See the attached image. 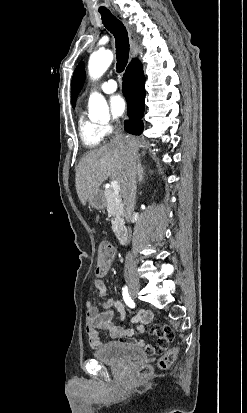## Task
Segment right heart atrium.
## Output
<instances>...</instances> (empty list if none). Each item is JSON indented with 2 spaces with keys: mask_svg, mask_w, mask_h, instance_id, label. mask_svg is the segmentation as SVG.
Returning <instances> with one entry per match:
<instances>
[{
  "mask_svg": "<svg viewBox=\"0 0 247 413\" xmlns=\"http://www.w3.org/2000/svg\"><path fill=\"white\" fill-rule=\"evenodd\" d=\"M99 128L102 130L104 135H108L111 133V127L110 126H99Z\"/></svg>",
  "mask_w": 247,
  "mask_h": 413,
  "instance_id": "obj_1",
  "label": "right heart atrium"
}]
</instances>
